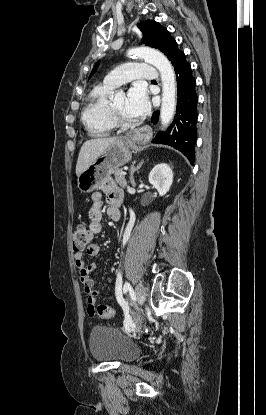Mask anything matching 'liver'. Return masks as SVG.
<instances>
[{
	"label": "liver",
	"instance_id": "liver-1",
	"mask_svg": "<svg viewBox=\"0 0 266 415\" xmlns=\"http://www.w3.org/2000/svg\"><path fill=\"white\" fill-rule=\"evenodd\" d=\"M118 139L120 138L111 137L87 140L82 145L78 155L76 164L77 177H79V175L83 173L110 144Z\"/></svg>",
	"mask_w": 266,
	"mask_h": 415
}]
</instances>
